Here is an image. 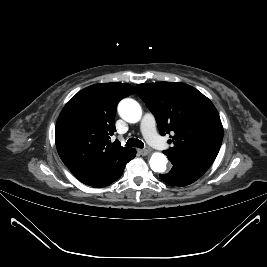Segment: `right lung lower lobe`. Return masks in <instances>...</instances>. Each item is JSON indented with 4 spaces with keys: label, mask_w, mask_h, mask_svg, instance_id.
Wrapping results in <instances>:
<instances>
[{
    "label": "right lung lower lobe",
    "mask_w": 267,
    "mask_h": 267,
    "mask_svg": "<svg viewBox=\"0 0 267 267\" xmlns=\"http://www.w3.org/2000/svg\"><path fill=\"white\" fill-rule=\"evenodd\" d=\"M135 155H136V151L134 149L132 154L127 159L122 161L118 166H116L115 168L111 169L104 176H102L101 178L97 179L96 181H94L93 183H91L89 185L92 186V187H104V186H107V185L111 184L112 182L116 181L122 175L126 164L131 159H133L135 157Z\"/></svg>",
    "instance_id": "98d812e1"
}]
</instances>
